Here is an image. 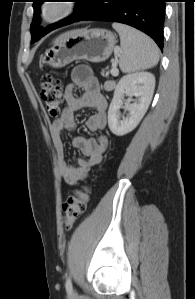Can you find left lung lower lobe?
Masks as SVG:
<instances>
[{
  "label": "left lung lower lobe",
  "mask_w": 195,
  "mask_h": 299,
  "mask_svg": "<svg viewBox=\"0 0 195 299\" xmlns=\"http://www.w3.org/2000/svg\"><path fill=\"white\" fill-rule=\"evenodd\" d=\"M166 0H92L78 21H112L135 27L163 48Z\"/></svg>",
  "instance_id": "obj_1"
}]
</instances>
